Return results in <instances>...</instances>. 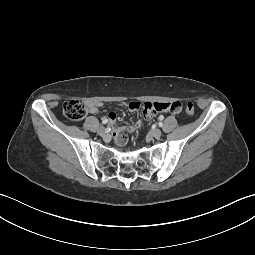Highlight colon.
Wrapping results in <instances>:
<instances>
[{"label":"colon","instance_id":"obj_1","mask_svg":"<svg viewBox=\"0 0 255 255\" xmlns=\"http://www.w3.org/2000/svg\"><path fill=\"white\" fill-rule=\"evenodd\" d=\"M88 112L86 103L81 99H70L64 103L63 113L65 117L71 121L82 120ZM185 112L192 116L195 112L194 106L191 102L186 103Z\"/></svg>","mask_w":255,"mask_h":255}]
</instances>
